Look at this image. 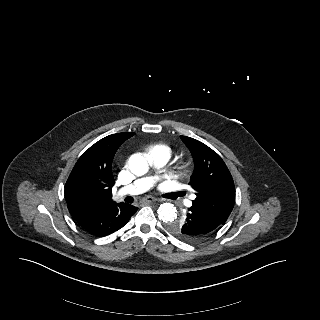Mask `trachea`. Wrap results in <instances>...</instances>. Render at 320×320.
Returning <instances> with one entry per match:
<instances>
[{"label": "trachea", "mask_w": 320, "mask_h": 320, "mask_svg": "<svg viewBox=\"0 0 320 320\" xmlns=\"http://www.w3.org/2000/svg\"><path fill=\"white\" fill-rule=\"evenodd\" d=\"M126 202L131 203V202H132V198H131V197H127V198H126Z\"/></svg>", "instance_id": "3493384b"}]
</instances>
